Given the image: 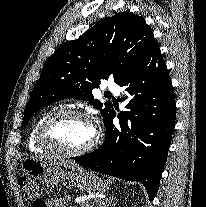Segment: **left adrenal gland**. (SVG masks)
Returning <instances> with one entry per match:
<instances>
[{
    "label": "left adrenal gland",
    "instance_id": "1",
    "mask_svg": "<svg viewBox=\"0 0 206 207\" xmlns=\"http://www.w3.org/2000/svg\"><path fill=\"white\" fill-rule=\"evenodd\" d=\"M113 201H115V198L110 196L109 198H106L104 201L100 202L99 207H108Z\"/></svg>",
    "mask_w": 206,
    "mask_h": 207
}]
</instances>
